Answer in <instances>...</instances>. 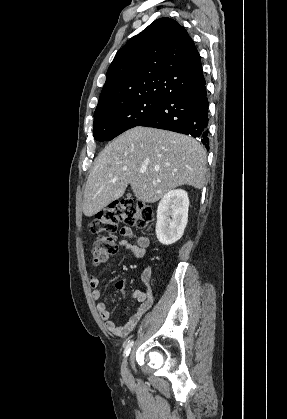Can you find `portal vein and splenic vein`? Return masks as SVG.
<instances>
[{"instance_id":"portal-vein-and-splenic-vein-1","label":"portal vein and splenic vein","mask_w":287,"mask_h":419,"mask_svg":"<svg viewBox=\"0 0 287 419\" xmlns=\"http://www.w3.org/2000/svg\"><path fill=\"white\" fill-rule=\"evenodd\" d=\"M145 169H140V173H145Z\"/></svg>"}]
</instances>
